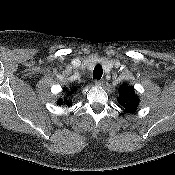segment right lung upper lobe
Instances as JSON below:
<instances>
[{
    "mask_svg": "<svg viewBox=\"0 0 175 175\" xmlns=\"http://www.w3.org/2000/svg\"><path fill=\"white\" fill-rule=\"evenodd\" d=\"M64 92H66L67 94L73 93V91H72V90L69 91L68 88H65V89H64ZM62 104H64V105L66 104L67 106H71V105H72V102L69 101V100H67V98H65L64 100L59 99V100H58V105H62Z\"/></svg>",
    "mask_w": 175,
    "mask_h": 175,
    "instance_id": "obj_1",
    "label": "right lung upper lobe"
}]
</instances>
